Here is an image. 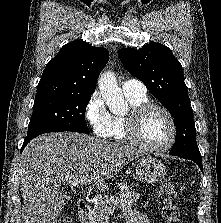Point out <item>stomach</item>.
<instances>
[{"label": "stomach", "mask_w": 221, "mask_h": 223, "mask_svg": "<svg viewBox=\"0 0 221 223\" xmlns=\"http://www.w3.org/2000/svg\"><path fill=\"white\" fill-rule=\"evenodd\" d=\"M136 174L144 182L156 183L165 177L166 167L155 157H142L136 163Z\"/></svg>", "instance_id": "obj_1"}]
</instances>
